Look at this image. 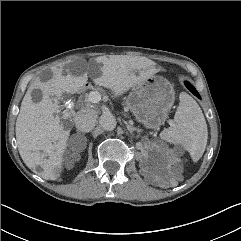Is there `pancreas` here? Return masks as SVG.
<instances>
[{"instance_id": "pancreas-1", "label": "pancreas", "mask_w": 241, "mask_h": 241, "mask_svg": "<svg viewBox=\"0 0 241 241\" xmlns=\"http://www.w3.org/2000/svg\"><path fill=\"white\" fill-rule=\"evenodd\" d=\"M88 96H89V94L86 95V100H87V101H88Z\"/></svg>"}]
</instances>
